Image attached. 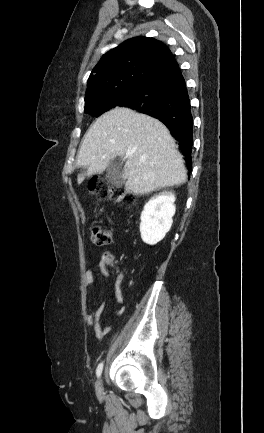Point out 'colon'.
Listing matches in <instances>:
<instances>
[{"label":"colon","instance_id":"colon-1","mask_svg":"<svg viewBox=\"0 0 264 433\" xmlns=\"http://www.w3.org/2000/svg\"><path fill=\"white\" fill-rule=\"evenodd\" d=\"M88 191L91 195L99 199H110L117 203H132L135 199L134 195L127 190L112 187L108 183L92 179L89 182ZM91 241L96 246H106L112 243L113 233L111 229L101 224H94L91 227ZM108 262L111 259L106 257Z\"/></svg>","mask_w":264,"mask_h":433}]
</instances>
